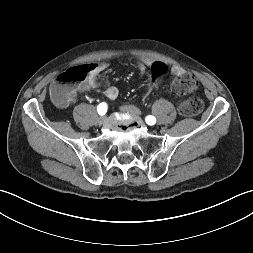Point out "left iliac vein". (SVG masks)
I'll return each mask as SVG.
<instances>
[{"label": "left iliac vein", "mask_w": 253, "mask_h": 253, "mask_svg": "<svg viewBox=\"0 0 253 253\" xmlns=\"http://www.w3.org/2000/svg\"><path fill=\"white\" fill-rule=\"evenodd\" d=\"M120 110L123 113H129V114H132L138 118L141 116L140 110L138 108H136L135 106L124 105V106L120 107Z\"/></svg>", "instance_id": "obj_1"}]
</instances>
